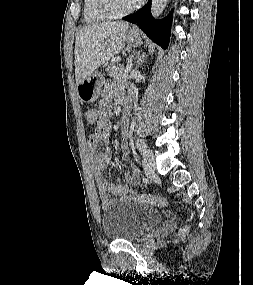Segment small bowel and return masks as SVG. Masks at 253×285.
<instances>
[{"label":"small bowel","mask_w":253,"mask_h":285,"mask_svg":"<svg viewBox=\"0 0 253 285\" xmlns=\"http://www.w3.org/2000/svg\"><path fill=\"white\" fill-rule=\"evenodd\" d=\"M126 87L119 81L112 80L107 82L101 91V100L98 110H96L97 121L95 131L88 138V147L90 161L94 179L100 195L103 209L115 205L116 203L127 202L132 198V191L129 184H137L139 181V172L135 167H132V173L125 174L126 183L120 178L116 183L108 182L103 172L108 168L111 160V151L106 148L102 152L97 151L98 144L101 141H106L110 135V116L113 109V99L119 97L121 101L126 102ZM128 122H123L124 135L128 134ZM129 145L126 141L121 143V152L124 156L128 154Z\"/></svg>","instance_id":"obj_1"}]
</instances>
